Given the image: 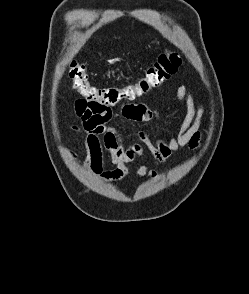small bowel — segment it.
Listing matches in <instances>:
<instances>
[{
    "label": "small bowel",
    "instance_id": "1",
    "mask_svg": "<svg viewBox=\"0 0 249 294\" xmlns=\"http://www.w3.org/2000/svg\"><path fill=\"white\" fill-rule=\"evenodd\" d=\"M178 106H185L186 112L177 131L168 137L161 136V124L157 110L144 104L129 102L118 103V111L111 106H92L79 99L75 103L78 118L84 125L82 135L85 149L84 169L104 183L122 182L129 178H158V172L150 169L147 161L149 152L159 165H166L182 147L196 150L200 146V130L204 107L196 105L192 95L185 86L176 90ZM120 117L130 124H146L156 121V133L150 138L139 129L133 132V138L125 144L124 135L113 125ZM108 154L110 168H105ZM71 158H76L74 150L69 151ZM141 159V165L130 171L127 164Z\"/></svg>",
    "mask_w": 249,
    "mask_h": 294
}]
</instances>
